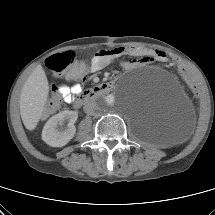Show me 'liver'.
Segmentation results:
<instances>
[{
	"mask_svg": "<svg viewBox=\"0 0 215 215\" xmlns=\"http://www.w3.org/2000/svg\"><path fill=\"white\" fill-rule=\"evenodd\" d=\"M49 94V83L45 71L38 65L23 85L20 94V114L26 129L36 128L44 111Z\"/></svg>",
	"mask_w": 215,
	"mask_h": 215,
	"instance_id": "obj_1",
	"label": "liver"
}]
</instances>
